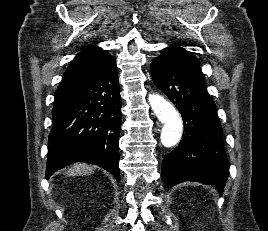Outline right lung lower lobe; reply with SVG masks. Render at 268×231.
Wrapping results in <instances>:
<instances>
[{
	"label": "right lung lower lobe",
	"instance_id": "obj_1",
	"mask_svg": "<svg viewBox=\"0 0 268 231\" xmlns=\"http://www.w3.org/2000/svg\"><path fill=\"white\" fill-rule=\"evenodd\" d=\"M46 178L75 161L119 173L121 96L116 60L73 87L52 110Z\"/></svg>",
	"mask_w": 268,
	"mask_h": 231
}]
</instances>
